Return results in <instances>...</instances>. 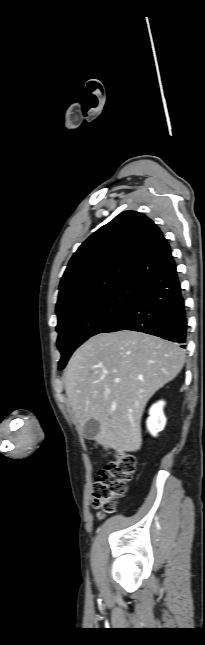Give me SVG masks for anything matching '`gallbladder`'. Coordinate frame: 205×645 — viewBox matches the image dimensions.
<instances>
[{
    "label": "gallbladder",
    "instance_id": "1",
    "mask_svg": "<svg viewBox=\"0 0 205 645\" xmlns=\"http://www.w3.org/2000/svg\"><path fill=\"white\" fill-rule=\"evenodd\" d=\"M100 430V424L98 421L91 419L86 422L84 426V436L85 438L91 440Z\"/></svg>",
    "mask_w": 205,
    "mask_h": 645
}]
</instances>
